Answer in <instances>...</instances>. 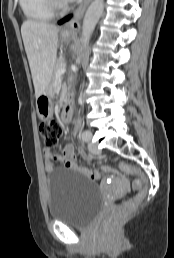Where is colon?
<instances>
[{
  "mask_svg": "<svg viewBox=\"0 0 174 258\" xmlns=\"http://www.w3.org/2000/svg\"><path fill=\"white\" fill-rule=\"evenodd\" d=\"M39 130L45 145L47 147H52L58 143L63 132V127L59 121L51 120L41 123ZM120 169L127 174L137 176L133 181L132 186L135 191L139 192V194L135 198L122 203L115 211L103 220L101 229L103 234L106 236L113 234L117 230L125 217L137 207L144 196L142 186L145 182V177L142 172L136 167L126 163H121Z\"/></svg>",
  "mask_w": 174,
  "mask_h": 258,
  "instance_id": "5ec220e1",
  "label": "colon"
}]
</instances>
